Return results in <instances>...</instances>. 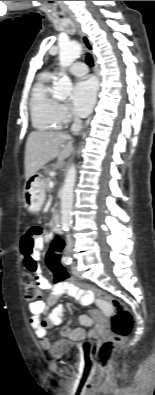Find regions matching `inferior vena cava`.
Returning a JSON list of instances; mask_svg holds the SVG:
<instances>
[{
  "label": "inferior vena cava",
  "instance_id": "obj_1",
  "mask_svg": "<svg viewBox=\"0 0 155 395\" xmlns=\"http://www.w3.org/2000/svg\"><path fill=\"white\" fill-rule=\"evenodd\" d=\"M82 129V120L80 118H78L77 116L74 117V122L71 126V131L73 134L77 135L80 130ZM67 248L68 251H71L72 248V240L70 235H67Z\"/></svg>",
  "mask_w": 155,
  "mask_h": 395
}]
</instances>
